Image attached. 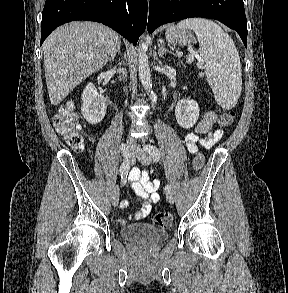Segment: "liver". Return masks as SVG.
<instances>
[{"label":"liver","mask_w":288,"mask_h":293,"mask_svg":"<svg viewBox=\"0 0 288 293\" xmlns=\"http://www.w3.org/2000/svg\"><path fill=\"white\" fill-rule=\"evenodd\" d=\"M118 34L109 27L73 21L58 27L43 44L44 70L50 101L57 106L83 80L114 55Z\"/></svg>","instance_id":"6515ba94"}]
</instances>
